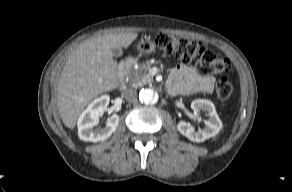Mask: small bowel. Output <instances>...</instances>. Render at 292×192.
<instances>
[{
	"mask_svg": "<svg viewBox=\"0 0 292 192\" xmlns=\"http://www.w3.org/2000/svg\"><path fill=\"white\" fill-rule=\"evenodd\" d=\"M214 82V77L203 76L193 67L178 65L169 76L167 89L173 95L196 92L209 93L213 89Z\"/></svg>",
	"mask_w": 292,
	"mask_h": 192,
	"instance_id": "1",
	"label": "small bowel"
}]
</instances>
